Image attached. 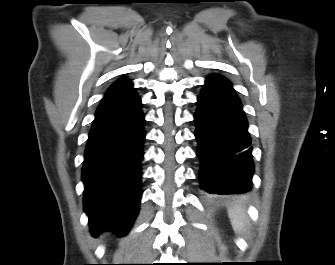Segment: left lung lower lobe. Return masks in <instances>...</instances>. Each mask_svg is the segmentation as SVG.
<instances>
[{"instance_id":"1","label":"left lung lower lobe","mask_w":335,"mask_h":265,"mask_svg":"<svg viewBox=\"0 0 335 265\" xmlns=\"http://www.w3.org/2000/svg\"><path fill=\"white\" fill-rule=\"evenodd\" d=\"M197 104L194 119L201 187L218 195L248 192L254 169L251 138L231 83L220 75L208 76Z\"/></svg>"}]
</instances>
